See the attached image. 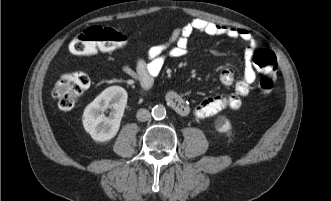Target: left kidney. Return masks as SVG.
<instances>
[{
	"instance_id": "1",
	"label": "left kidney",
	"mask_w": 331,
	"mask_h": 201,
	"mask_svg": "<svg viewBox=\"0 0 331 201\" xmlns=\"http://www.w3.org/2000/svg\"><path fill=\"white\" fill-rule=\"evenodd\" d=\"M215 127L217 131L226 133L231 129V123L225 116H221L216 120Z\"/></svg>"
}]
</instances>
